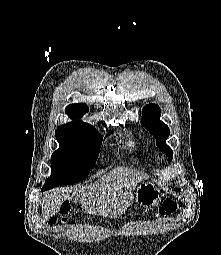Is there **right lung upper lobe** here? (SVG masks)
I'll use <instances>...</instances> for the list:
<instances>
[{
    "instance_id": "cb5924a9",
    "label": "right lung upper lobe",
    "mask_w": 221,
    "mask_h": 255,
    "mask_svg": "<svg viewBox=\"0 0 221 255\" xmlns=\"http://www.w3.org/2000/svg\"><path fill=\"white\" fill-rule=\"evenodd\" d=\"M86 112H88V107L86 106V104H83V103H78V104L76 103L66 107V113L71 119L81 118ZM59 128L78 129V130H84L88 132L96 131L94 126L88 123H84L82 121H73L67 124H63Z\"/></svg>"
}]
</instances>
